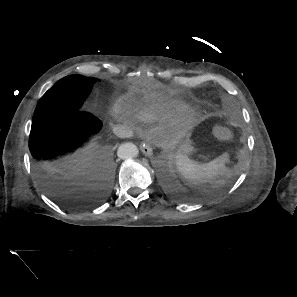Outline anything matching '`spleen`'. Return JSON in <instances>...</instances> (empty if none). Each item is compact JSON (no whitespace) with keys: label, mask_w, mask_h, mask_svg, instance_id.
<instances>
[{"label":"spleen","mask_w":297,"mask_h":297,"mask_svg":"<svg viewBox=\"0 0 297 297\" xmlns=\"http://www.w3.org/2000/svg\"><path fill=\"white\" fill-rule=\"evenodd\" d=\"M228 154L224 153L208 163H198L187 156L178 155L176 165L181 176L191 185L218 184L226 173L225 163Z\"/></svg>","instance_id":"obj_1"}]
</instances>
